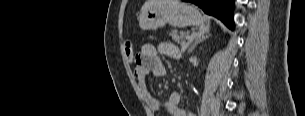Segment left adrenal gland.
Wrapping results in <instances>:
<instances>
[{
    "instance_id": "left-adrenal-gland-1",
    "label": "left adrenal gland",
    "mask_w": 305,
    "mask_h": 116,
    "mask_svg": "<svg viewBox=\"0 0 305 116\" xmlns=\"http://www.w3.org/2000/svg\"><path fill=\"white\" fill-rule=\"evenodd\" d=\"M205 34V31H202L200 33H198L197 37L195 38V41L194 43L191 45V47L189 48L188 50V53L192 52V50L202 41H204L205 39L208 38V36L204 35ZM190 44V41L187 43V46Z\"/></svg>"
}]
</instances>
